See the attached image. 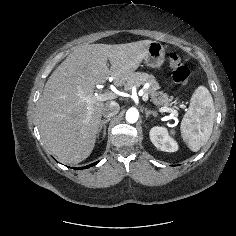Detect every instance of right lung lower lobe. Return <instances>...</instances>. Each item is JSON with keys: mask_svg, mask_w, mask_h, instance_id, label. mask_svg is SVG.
I'll use <instances>...</instances> for the list:
<instances>
[{"mask_svg": "<svg viewBox=\"0 0 236 236\" xmlns=\"http://www.w3.org/2000/svg\"><path fill=\"white\" fill-rule=\"evenodd\" d=\"M97 163H98V162H95V163H92V164H90V165H88V166L81 167V168H79V169H86V168H89V167H92V166L96 165Z\"/></svg>", "mask_w": 236, "mask_h": 236, "instance_id": "98d812e1", "label": "right lung lower lobe"}]
</instances>
